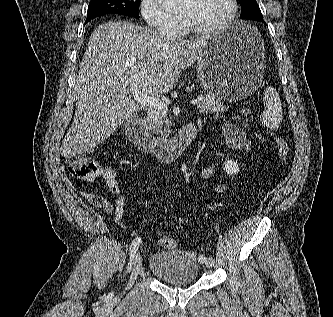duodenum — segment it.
<instances>
[{"mask_svg": "<svg viewBox=\"0 0 333 317\" xmlns=\"http://www.w3.org/2000/svg\"><path fill=\"white\" fill-rule=\"evenodd\" d=\"M125 129L129 139L137 147L167 163L178 159L192 145L199 133L195 123H188L182 127L176 137L166 139L151 134L139 118L127 120Z\"/></svg>", "mask_w": 333, "mask_h": 317, "instance_id": "duodenum-1", "label": "duodenum"}]
</instances>
